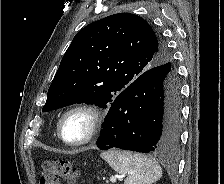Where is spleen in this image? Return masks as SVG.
Wrapping results in <instances>:
<instances>
[{"label":"spleen","mask_w":224,"mask_h":184,"mask_svg":"<svg viewBox=\"0 0 224 184\" xmlns=\"http://www.w3.org/2000/svg\"><path fill=\"white\" fill-rule=\"evenodd\" d=\"M101 157L116 172L127 175L124 184H152L162 176L160 165L139 153L111 150L101 153Z\"/></svg>","instance_id":"spleen-1"}]
</instances>
